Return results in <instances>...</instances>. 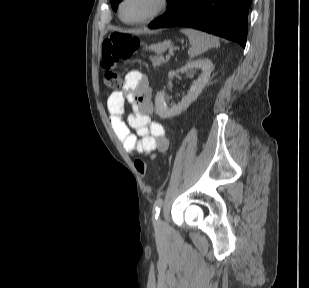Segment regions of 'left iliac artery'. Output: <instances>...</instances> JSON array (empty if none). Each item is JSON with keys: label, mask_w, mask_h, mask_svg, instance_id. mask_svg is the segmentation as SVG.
Segmentation results:
<instances>
[{"label": "left iliac artery", "mask_w": 309, "mask_h": 288, "mask_svg": "<svg viewBox=\"0 0 309 288\" xmlns=\"http://www.w3.org/2000/svg\"><path fill=\"white\" fill-rule=\"evenodd\" d=\"M163 204V200L161 198H158L153 206V220L156 221L159 217L160 210Z\"/></svg>", "instance_id": "44dca946"}]
</instances>
